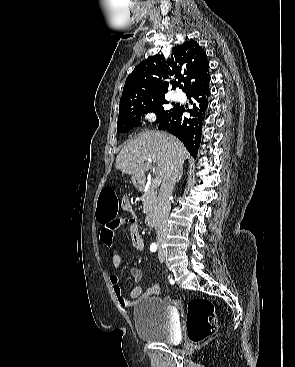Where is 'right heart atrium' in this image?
I'll use <instances>...</instances> for the list:
<instances>
[{"instance_id": "right-heart-atrium-1", "label": "right heart atrium", "mask_w": 295, "mask_h": 367, "mask_svg": "<svg viewBox=\"0 0 295 367\" xmlns=\"http://www.w3.org/2000/svg\"><path fill=\"white\" fill-rule=\"evenodd\" d=\"M144 117H145V119H146L147 121L151 122V121H153V120H154V118H155V114H154L153 112L148 111V112H146V113L144 114Z\"/></svg>"}]
</instances>
